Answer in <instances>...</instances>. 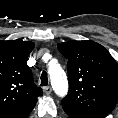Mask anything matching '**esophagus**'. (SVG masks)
Masks as SVG:
<instances>
[{"label": "esophagus", "mask_w": 118, "mask_h": 118, "mask_svg": "<svg viewBox=\"0 0 118 118\" xmlns=\"http://www.w3.org/2000/svg\"><path fill=\"white\" fill-rule=\"evenodd\" d=\"M43 91L45 94L49 95L52 92V88H51V86H46L43 88Z\"/></svg>", "instance_id": "34e87169"}]
</instances>
